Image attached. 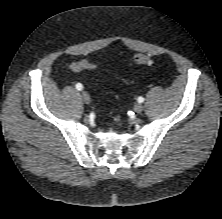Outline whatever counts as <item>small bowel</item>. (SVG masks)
<instances>
[{"instance_id": "c3829d8e", "label": "small bowel", "mask_w": 222, "mask_h": 219, "mask_svg": "<svg viewBox=\"0 0 222 219\" xmlns=\"http://www.w3.org/2000/svg\"><path fill=\"white\" fill-rule=\"evenodd\" d=\"M69 67L73 72L92 70V69L96 68V66L94 64L90 63L87 60L74 61L70 64Z\"/></svg>"}]
</instances>
